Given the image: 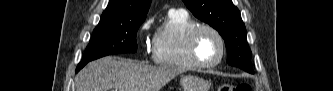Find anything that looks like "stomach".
<instances>
[{
  "label": "stomach",
  "instance_id": "0dacf381",
  "mask_svg": "<svg viewBox=\"0 0 333 91\" xmlns=\"http://www.w3.org/2000/svg\"><path fill=\"white\" fill-rule=\"evenodd\" d=\"M183 91H208L210 83L200 77L183 76L180 80Z\"/></svg>",
  "mask_w": 333,
  "mask_h": 91
}]
</instances>
